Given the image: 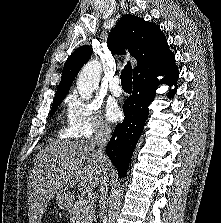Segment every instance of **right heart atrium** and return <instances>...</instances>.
<instances>
[{
  "instance_id": "right-heart-atrium-1",
  "label": "right heart atrium",
  "mask_w": 221,
  "mask_h": 223,
  "mask_svg": "<svg viewBox=\"0 0 221 223\" xmlns=\"http://www.w3.org/2000/svg\"><path fill=\"white\" fill-rule=\"evenodd\" d=\"M65 104V133L68 137L87 139L111 131L96 102L86 101L76 93H71L67 96Z\"/></svg>"
}]
</instances>
